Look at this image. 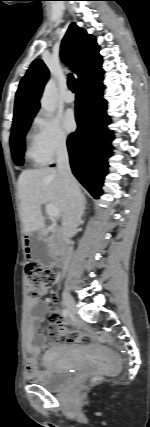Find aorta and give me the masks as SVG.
Here are the masks:
<instances>
[{
    "mask_svg": "<svg viewBox=\"0 0 150 427\" xmlns=\"http://www.w3.org/2000/svg\"><path fill=\"white\" fill-rule=\"evenodd\" d=\"M57 88L53 80H49L41 98V108L48 114L56 110Z\"/></svg>",
    "mask_w": 150,
    "mask_h": 427,
    "instance_id": "aorta-1",
    "label": "aorta"
}]
</instances>
